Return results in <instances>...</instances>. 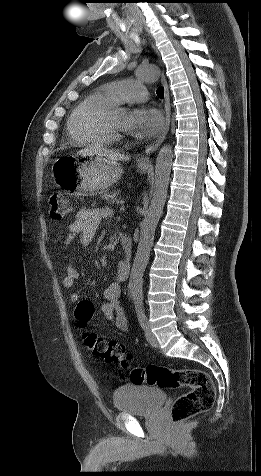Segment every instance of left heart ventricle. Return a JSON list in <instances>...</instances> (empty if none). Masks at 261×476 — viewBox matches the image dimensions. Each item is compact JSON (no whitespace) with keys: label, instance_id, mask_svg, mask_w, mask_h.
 <instances>
[{"label":"left heart ventricle","instance_id":"obj_1","mask_svg":"<svg viewBox=\"0 0 261 476\" xmlns=\"http://www.w3.org/2000/svg\"><path fill=\"white\" fill-rule=\"evenodd\" d=\"M127 118V113L123 110H116L113 114V123L118 128L125 130V120Z\"/></svg>","mask_w":261,"mask_h":476}]
</instances>
